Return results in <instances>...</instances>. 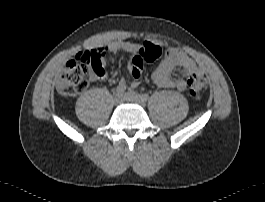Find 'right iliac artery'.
<instances>
[{"instance_id":"1","label":"right iliac artery","mask_w":265,"mask_h":202,"mask_svg":"<svg viewBox=\"0 0 265 202\" xmlns=\"http://www.w3.org/2000/svg\"><path fill=\"white\" fill-rule=\"evenodd\" d=\"M125 90H126V85L120 84L114 89L113 94H114V96L122 95Z\"/></svg>"}]
</instances>
